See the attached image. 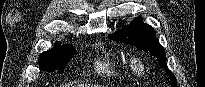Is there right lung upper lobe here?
<instances>
[{
  "label": "right lung upper lobe",
  "mask_w": 205,
  "mask_h": 87,
  "mask_svg": "<svg viewBox=\"0 0 205 87\" xmlns=\"http://www.w3.org/2000/svg\"><path fill=\"white\" fill-rule=\"evenodd\" d=\"M56 44H59V43H56ZM66 46H71V45H66Z\"/></svg>",
  "instance_id": "right-lung-upper-lobe-1"
}]
</instances>
